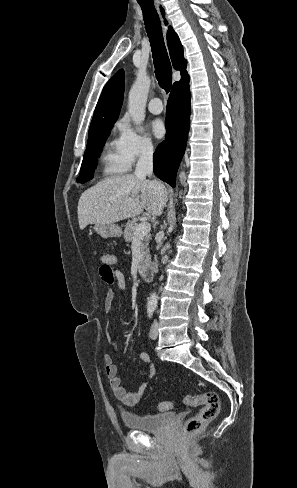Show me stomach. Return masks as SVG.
I'll return each mask as SVG.
<instances>
[{
  "label": "stomach",
  "instance_id": "stomach-1",
  "mask_svg": "<svg viewBox=\"0 0 297 488\" xmlns=\"http://www.w3.org/2000/svg\"><path fill=\"white\" fill-rule=\"evenodd\" d=\"M94 230L103 238L120 237L121 228L116 224H95Z\"/></svg>",
  "mask_w": 297,
  "mask_h": 488
}]
</instances>
